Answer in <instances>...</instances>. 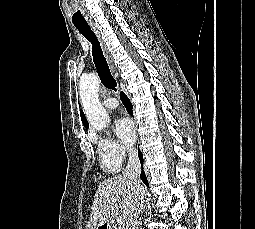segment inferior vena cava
Masks as SVG:
<instances>
[{
  "mask_svg": "<svg viewBox=\"0 0 255 229\" xmlns=\"http://www.w3.org/2000/svg\"><path fill=\"white\" fill-rule=\"evenodd\" d=\"M128 164L123 172V177L133 184L134 195L130 204L128 218L126 220V229H137L138 217L143 210L144 189L140 183L141 164L138 157V151L135 148H127Z\"/></svg>",
  "mask_w": 255,
  "mask_h": 229,
  "instance_id": "inferior-vena-cava-1",
  "label": "inferior vena cava"
}]
</instances>
